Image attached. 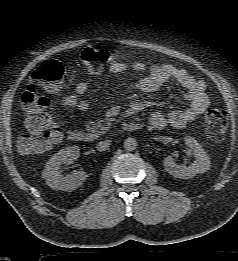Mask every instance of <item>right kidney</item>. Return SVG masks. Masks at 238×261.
I'll return each instance as SVG.
<instances>
[{
    "label": "right kidney",
    "mask_w": 238,
    "mask_h": 261,
    "mask_svg": "<svg viewBox=\"0 0 238 261\" xmlns=\"http://www.w3.org/2000/svg\"><path fill=\"white\" fill-rule=\"evenodd\" d=\"M80 154L78 146H70L54 154L46 163L42 177L46 184L55 190L72 191L83 184L87 178L84 171H76L73 174L63 176L60 165L70 159H77Z\"/></svg>",
    "instance_id": "ca27d5eb"
}]
</instances>
